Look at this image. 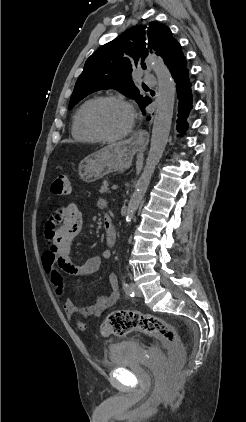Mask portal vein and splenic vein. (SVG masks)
Segmentation results:
<instances>
[{"label": "portal vein and splenic vein", "mask_w": 246, "mask_h": 422, "mask_svg": "<svg viewBox=\"0 0 246 422\" xmlns=\"http://www.w3.org/2000/svg\"><path fill=\"white\" fill-rule=\"evenodd\" d=\"M118 188V186L117 185H114V186H112V189L114 190V189H117Z\"/></svg>", "instance_id": "obj_1"}]
</instances>
